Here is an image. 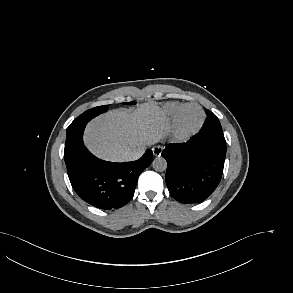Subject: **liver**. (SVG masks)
Returning a JSON list of instances; mask_svg holds the SVG:
<instances>
[{
	"label": "liver",
	"mask_w": 293,
	"mask_h": 293,
	"mask_svg": "<svg viewBox=\"0 0 293 293\" xmlns=\"http://www.w3.org/2000/svg\"><path fill=\"white\" fill-rule=\"evenodd\" d=\"M169 121L155 103H143L134 112L115 109L93 119L86 127L84 141L97 157L123 162L126 153L145 150L161 141Z\"/></svg>",
	"instance_id": "liver-1"
}]
</instances>
